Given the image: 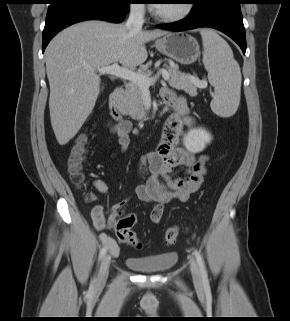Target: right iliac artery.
Segmentation results:
<instances>
[{
    "label": "right iliac artery",
    "mask_w": 290,
    "mask_h": 321,
    "mask_svg": "<svg viewBox=\"0 0 290 321\" xmlns=\"http://www.w3.org/2000/svg\"><path fill=\"white\" fill-rule=\"evenodd\" d=\"M107 248H108V246L104 245L103 248L100 250V254H99L100 259H102L103 256L105 255V253L107 252ZM93 288H94V281L90 285V290H93Z\"/></svg>",
    "instance_id": "1"
}]
</instances>
